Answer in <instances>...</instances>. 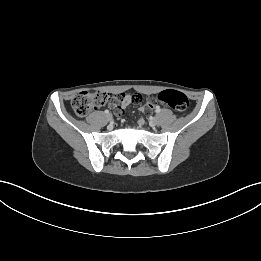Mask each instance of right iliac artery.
Wrapping results in <instances>:
<instances>
[{
  "instance_id": "right-iliac-artery-1",
  "label": "right iliac artery",
  "mask_w": 261,
  "mask_h": 261,
  "mask_svg": "<svg viewBox=\"0 0 261 261\" xmlns=\"http://www.w3.org/2000/svg\"><path fill=\"white\" fill-rule=\"evenodd\" d=\"M104 112H105V114H108V113H109V110H105Z\"/></svg>"
}]
</instances>
